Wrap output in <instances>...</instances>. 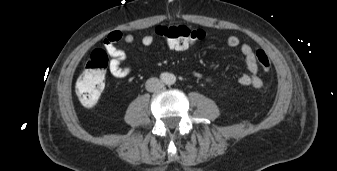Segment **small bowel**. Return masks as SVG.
<instances>
[{"instance_id":"c3829d8e","label":"small bowel","mask_w":337,"mask_h":171,"mask_svg":"<svg viewBox=\"0 0 337 171\" xmlns=\"http://www.w3.org/2000/svg\"><path fill=\"white\" fill-rule=\"evenodd\" d=\"M135 41L136 37L133 34H124L121 31H111L103 39V46L109 56L108 70L113 77L123 79L128 77L132 72L130 66L124 65L126 53L117 46V43L124 42L126 44H133ZM140 42L144 47H150L154 44V37L152 35H144ZM227 44L232 48L240 47V51L246 63L248 72L240 76L239 83L243 86H251L255 89L261 88L263 86V81L258 75L257 60L252 46L246 43L241 44V41L237 36L228 37ZM193 76L196 79L203 80L207 83L211 82L210 78L204 76L199 71H194Z\"/></svg>"}]
</instances>
